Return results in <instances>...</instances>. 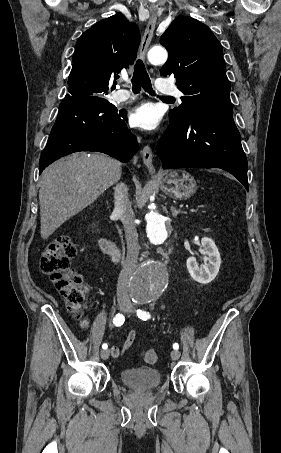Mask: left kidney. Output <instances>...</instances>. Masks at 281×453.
Here are the masks:
<instances>
[{"mask_svg": "<svg viewBox=\"0 0 281 453\" xmlns=\"http://www.w3.org/2000/svg\"><path fill=\"white\" fill-rule=\"evenodd\" d=\"M201 247H204L205 255H208V263L204 267H198V263L195 257H189L187 259V269L194 281L197 283H202V285H207L215 279L221 265V259L219 251L212 239L208 237H203L201 239Z\"/></svg>", "mask_w": 281, "mask_h": 453, "instance_id": "1", "label": "left kidney"}]
</instances>
